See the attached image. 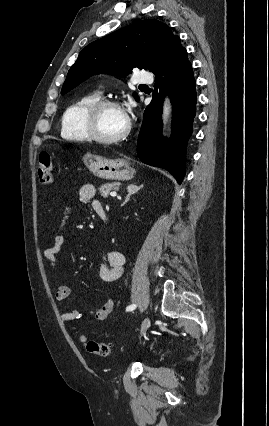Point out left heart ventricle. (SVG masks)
Returning <instances> with one entry per match:
<instances>
[{"label": "left heart ventricle", "mask_w": 269, "mask_h": 426, "mask_svg": "<svg viewBox=\"0 0 269 426\" xmlns=\"http://www.w3.org/2000/svg\"><path fill=\"white\" fill-rule=\"evenodd\" d=\"M127 124L123 110L116 107L104 108L97 120V130L105 138H113L120 135Z\"/></svg>", "instance_id": "left-heart-ventricle-1"}]
</instances>
